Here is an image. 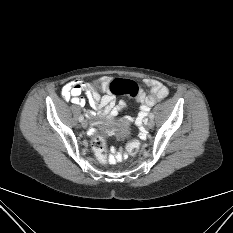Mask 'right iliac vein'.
Listing matches in <instances>:
<instances>
[{"label":"right iliac vein","instance_id":"right-iliac-vein-1","mask_svg":"<svg viewBox=\"0 0 233 233\" xmlns=\"http://www.w3.org/2000/svg\"><path fill=\"white\" fill-rule=\"evenodd\" d=\"M81 124H82V126H83L84 128H86V127L88 126V123H87L86 120H83Z\"/></svg>","mask_w":233,"mask_h":233}]
</instances>
